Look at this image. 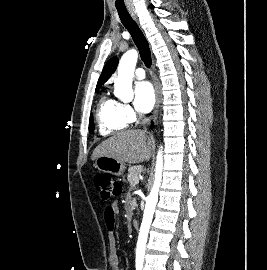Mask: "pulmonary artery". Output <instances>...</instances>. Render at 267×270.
<instances>
[{
	"label": "pulmonary artery",
	"mask_w": 267,
	"mask_h": 270,
	"mask_svg": "<svg viewBox=\"0 0 267 270\" xmlns=\"http://www.w3.org/2000/svg\"><path fill=\"white\" fill-rule=\"evenodd\" d=\"M134 76H135L136 79H139V80L144 79L145 78L144 69L143 68H137L135 70Z\"/></svg>",
	"instance_id": "e3ab8cb5"
}]
</instances>
